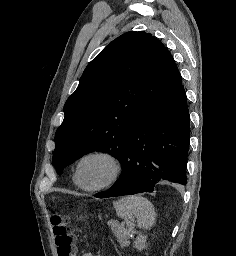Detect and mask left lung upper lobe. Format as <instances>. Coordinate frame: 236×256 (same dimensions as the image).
<instances>
[{"mask_svg":"<svg viewBox=\"0 0 236 256\" xmlns=\"http://www.w3.org/2000/svg\"><path fill=\"white\" fill-rule=\"evenodd\" d=\"M181 82L173 57L151 34L131 31L113 40L64 105L52 159L57 173L92 151L121 162L135 124Z\"/></svg>","mask_w":236,"mask_h":256,"instance_id":"obj_1","label":"left lung upper lobe"}]
</instances>
